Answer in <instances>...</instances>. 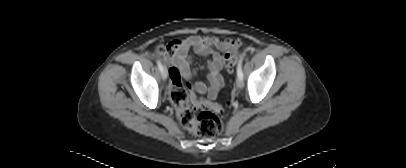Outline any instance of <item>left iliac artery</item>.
<instances>
[{
	"label": "left iliac artery",
	"mask_w": 406,
	"mask_h": 168,
	"mask_svg": "<svg viewBox=\"0 0 406 168\" xmlns=\"http://www.w3.org/2000/svg\"><path fill=\"white\" fill-rule=\"evenodd\" d=\"M242 61H243V58H241V59L239 60L238 65H237V75H238V77L241 78V79H243Z\"/></svg>",
	"instance_id": "left-iliac-artery-1"
}]
</instances>
